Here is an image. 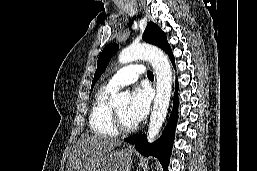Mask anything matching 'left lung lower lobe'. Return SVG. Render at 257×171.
<instances>
[{
    "label": "left lung lower lobe",
    "instance_id": "1",
    "mask_svg": "<svg viewBox=\"0 0 257 171\" xmlns=\"http://www.w3.org/2000/svg\"><path fill=\"white\" fill-rule=\"evenodd\" d=\"M169 58L173 66H175V60L172 52L169 54ZM177 90L178 87H175V97L173 101V110L172 114L169 118V122L167 127L165 128L161 138L154 142L153 144H149L147 142L146 135L143 133L136 134L129 138L124 139V141L134 144L135 148L144 156H154L156 157L160 163L162 164L163 168L167 170L171 149L173 145V139L175 134V124L178 118L177 113V106H178V97H177Z\"/></svg>",
    "mask_w": 257,
    "mask_h": 171
}]
</instances>
